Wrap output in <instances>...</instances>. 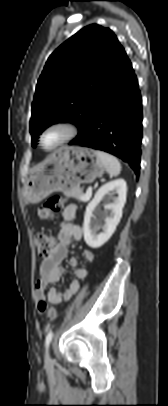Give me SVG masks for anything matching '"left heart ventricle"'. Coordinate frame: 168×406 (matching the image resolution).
I'll use <instances>...</instances> for the list:
<instances>
[{
	"mask_svg": "<svg viewBox=\"0 0 168 406\" xmlns=\"http://www.w3.org/2000/svg\"><path fill=\"white\" fill-rule=\"evenodd\" d=\"M62 136L63 133L61 130L54 129L48 131L43 137V144L47 148L53 147L61 140Z\"/></svg>",
	"mask_w": 168,
	"mask_h": 406,
	"instance_id": "b2bd125f",
	"label": "left heart ventricle"
}]
</instances>
